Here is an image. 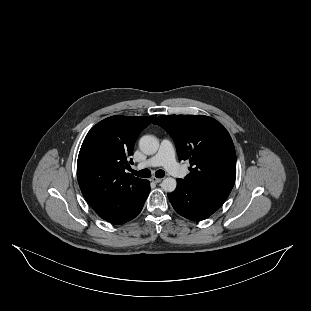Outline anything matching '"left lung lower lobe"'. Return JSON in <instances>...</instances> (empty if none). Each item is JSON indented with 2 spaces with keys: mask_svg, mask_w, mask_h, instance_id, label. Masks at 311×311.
I'll list each match as a JSON object with an SVG mask.
<instances>
[{
  "mask_svg": "<svg viewBox=\"0 0 311 311\" xmlns=\"http://www.w3.org/2000/svg\"><path fill=\"white\" fill-rule=\"evenodd\" d=\"M229 194L203 189L177 179L175 191L168 198L178 214L194 221L208 218L217 211Z\"/></svg>",
  "mask_w": 311,
  "mask_h": 311,
  "instance_id": "1",
  "label": "left lung lower lobe"
}]
</instances>
